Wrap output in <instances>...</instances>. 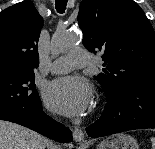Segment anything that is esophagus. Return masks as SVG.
<instances>
[{"label": "esophagus", "mask_w": 155, "mask_h": 149, "mask_svg": "<svg viewBox=\"0 0 155 149\" xmlns=\"http://www.w3.org/2000/svg\"><path fill=\"white\" fill-rule=\"evenodd\" d=\"M73 139H74L76 142H84V141H85L84 132L82 131L81 128L75 127V128L73 129Z\"/></svg>", "instance_id": "esophagus-1"}]
</instances>
